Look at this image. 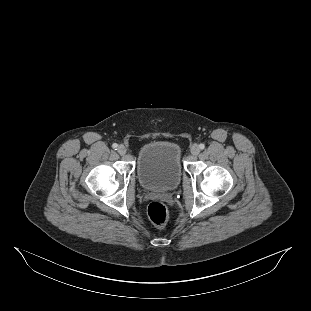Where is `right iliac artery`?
I'll return each instance as SVG.
<instances>
[{
    "mask_svg": "<svg viewBox=\"0 0 311 311\" xmlns=\"http://www.w3.org/2000/svg\"><path fill=\"white\" fill-rule=\"evenodd\" d=\"M112 147H113L114 149H116V148L118 147V144L114 143V144L112 145Z\"/></svg>",
    "mask_w": 311,
    "mask_h": 311,
    "instance_id": "right-iliac-artery-1",
    "label": "right iliac artery"
}]
</instances>
